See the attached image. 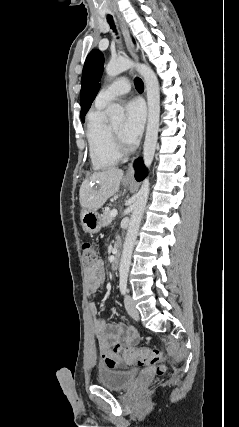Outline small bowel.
Segmentation results:
<instances>
[{
    "instance_id": "obj_1",
    "label": "small bowel",
    "mask_w": 239,
    "mask_h": 427,
    "mask_svg": "<svg viewBox=\"0 0 239 427\" xmlns=\"http://www.w3.org/2000/svg\"><path fill=\"white\" fill-rule=\"evenodd\" d=\"M87 289L96 293L104 280L102 261L97 260L85 268ZM92 324L103 364L108 368H116L121 363V357L112 349L113 346H132L139 342V334L134 327L124 323H106L97 318V308L91 305Z\"/></svg>"
}]
</instances>
